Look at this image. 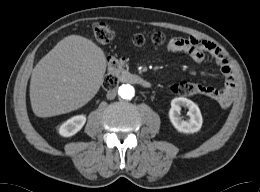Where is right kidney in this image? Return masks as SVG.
I'll return each instance as SVG.
<instances>
[{"mask_svg": "<svg viewBox=\"0 0 260 192\" xmlns=\"http://www.w3.org/2000/svg\"><path fill=\"white\" fill-rule=\"evenodd\" d=\"M86 122L85 115H76L65 121L59 128V134L63 137L75 135L82 129Z\"/></svg>", "mask_w": 260, "mask_h": 192, "instance_id": "right-kidney-1", "label": "right kidney"}]
</instances>
